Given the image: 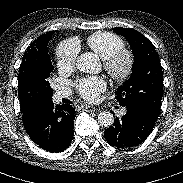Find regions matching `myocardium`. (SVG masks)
<instances>
[{
	"label": "myocardium",
	"instance_id": "obj_1",
	"mask_svg": "<svg viewBox=\"0 0 183 183\" xmlns=\"http://www.w3.org/2000/svg\"><path fill=\"white\" fill-rule=\"evenodd\" d=\"M106 72L115 81H125L133 73L135 66V55L127 48H121L103 59Z\"/></svg>",
	"mask_w": 183,
	"mask_h": 183
}]
</instances>
